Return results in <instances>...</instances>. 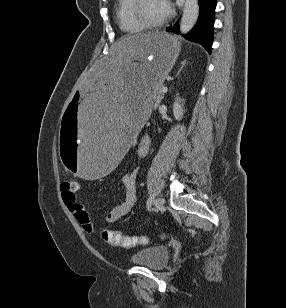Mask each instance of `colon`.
I'll list each match as a JSON object with an SVG mask.
<instances>
[{
  "mask_svg": "<svg viewBox=\"0 0 286 308\" xmlns=\"http://www.w3.org/2000/svg\"><path fill=\"white\" fill-rule=\"evenodd\" d=\"M64 195L74 197L79 189V183L75 180H66L61 183ZM103 239L110 245L122 248H132L149 244L151 239L147 236H125L118 231L105 229L102 231Z\"/></svg>",
  "mask_w": 286,
  "mask_h": 308,
  "instance_id": "obj_1",
  "label": "colon"
}]
</instances>
